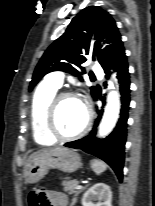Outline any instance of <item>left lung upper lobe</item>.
<instances>
[{
  "mask_svg": "<svg viewBox=\"0 0 155 206\" xmlns=\"http://www.w3.org/2000/svg\"><path fill=\"white\" fill-rule=\"evenodd\" d=\"M93 34L100 40L106 39L108 46L101 49L99 42L92 43ZM122 47L121 35L111 15L100 7H87L71 20L65 33L45 51L36 66L29 91L44 75L52 71L81 75L84 73L81 65L86 61V55H91L104 69ZM91 90L94 96L95 88L91 87Z\"/></svg>",
  "mask_w": 155,
  "mask_h": 206,
  "instance_id": "1",
  "label": "left lung upper lobe"
}]
</instances>
